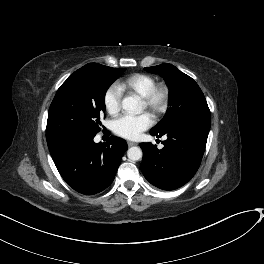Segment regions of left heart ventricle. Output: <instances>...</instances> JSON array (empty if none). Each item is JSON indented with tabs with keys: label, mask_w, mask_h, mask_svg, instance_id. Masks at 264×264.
<instances>
[{
	"label": "left heart ventricle",
	"mask_w": 264,
	"mask_h": 264,
	"mask_svg": "<svg viewBox=\"0 0 264 264\" xmlns=\"http://www.w3.org/2000/svg\"><path fill=\"white\" fill-rule=\"evenodd\" d=\"M143 107L146 108L144 103H143Z\"/></svg>",
	"instance_id": "b2bd125f"
}]
</instances>
